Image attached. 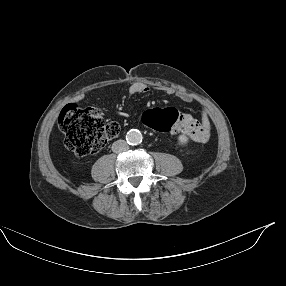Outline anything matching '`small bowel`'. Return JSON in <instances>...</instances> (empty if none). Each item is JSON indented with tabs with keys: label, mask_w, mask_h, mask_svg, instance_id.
Wrapping results in <instances>:
<instances>
[{
	"label": "small bowel",
	"mask_w": 286,
	"mask_h": 286,
	"mask_svg": "<svg viewBox=\"0 0 286 286\" xmlns=\"http://www.w3.org/2000/svg\"><path fill=\"white\" fill-rule=\"evenodd\" d=\"M150 91L148 85L143 82H134L128 89V94L133 97L139 94H145ZM165 91L170 94H175L186 102L192 100L191 95L186 92L172 91L166 88ZM172 109V108H171ZM176 110V109H175ZM179 113V119L169 129L172 134H183L189 140L195 143H205L210 138L211 121L208 114L203 111L200 120L194 119L191 115L186 113Z\"/></svg>",
	"instance_id": "c3829d8e"
}]
</instances>
